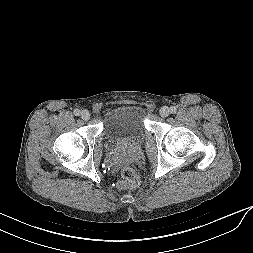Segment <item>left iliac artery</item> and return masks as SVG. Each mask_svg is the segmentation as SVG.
Returning <instances> with one entry per match:
<instances>
[{
    "mask_svg": "<svg viewBox=\"0 0 253 253\" xmlns=\"http://www.w3.org/2000/svg\"><path fill=\"white\" fill-rule=\"evenodd\" d=\"M170 111H171V113L174 114V113H176L177 109L175 106H172V107H170Z\"/></svg>",
    "mask_w": 253,
    "mask_h": 253,
    "instance_id": "left-iliac-artery-1",
    "label": "left iliac artery"
}]
</instances>
